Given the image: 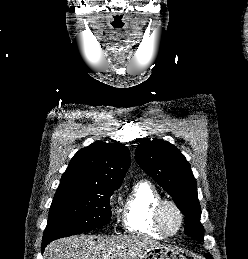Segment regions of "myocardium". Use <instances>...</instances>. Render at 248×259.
Here are the masks:
<instances>
[{
	"mask_svg": "<svg viewBox=\"0 0 248 259\" xmlns=\"http://www.w3.org/2000/svg\"><path fill=\"white\" fill-rule=\"evenodd\" d=\"M166 207H172L179 216V227L175 232H169L163 222V211ZM153 219L158 230L166 237L176 236L181 232L185 223V216L180 206L173 200L161 199L155 206L153 212Z\"/></svg>",
	"mask_w": 248,
	"mask_h": 259,
	"instance_id": "f54148a6",
	"label": "myocardium"
}]
</instances>
